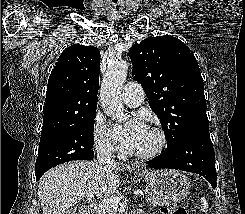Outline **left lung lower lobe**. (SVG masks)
Returning <instances> with one entry per match:
<instances>
[{"mask_svg": "<svg viewBox=\"0 0 245 214\" xmlns=\"http://www.w3.org/2000/svg\"><path fill=\"white\" fill-rule=\"evenodd\" d=\"M151 168H172L197 173L216 188L215 153L209 132H197L176 147L146 162Z\"/></svg>", "mask_w": 245, "mask_h": 214, "instance_id": "obj_1", "label": "left lung lower lobe"}]
</instances>
